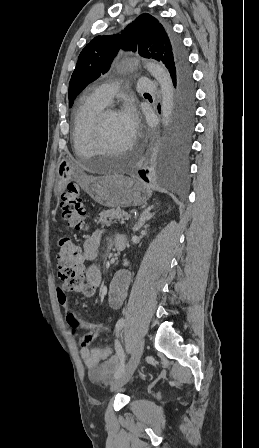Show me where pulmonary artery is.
Wrapping results in <instances>:
<instances>
[{"label": "pulmonary artery", "mask_w": 259, "mask_h": 448, "mask_svg": "<svg viewBox=\"0 0 259 448\" xmlns=\"http://www.w3.org/2000/svg\"><path fill=\"white\" fill-rule=\"evenodd\" d=\"M115 87H114V82H108V83H104L101 85H98L95 89L94 92L96 94V96L98 97V99H100L103 103L108 104L114 94H115Z\"/></svg>", "instance_id": "e3ab8cb5"}]
</instances>
